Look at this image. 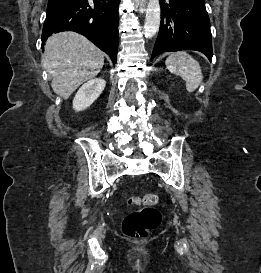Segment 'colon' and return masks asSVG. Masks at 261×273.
<instances>
[{
    "instance_id": "5ec220e1",
    "label": "colon",
    "mask_w": 261,
    "mask_h": 273,
    "mask_svg": "<svg viewBox=\"0 0 261 273\" xmlns=\"http://www.w3.org/2000/svg\"><path fill=\"white\" fill-rule=\"evenodd\" d=\"M126 199L131 205H144V207L124 218L123 233L129 238L145 237L150 230L156 228L161 222L160 212L153 207L157 203L158 197L155 194H146L140 197L127 195Z\"/></svg>"
}]
</instances>
